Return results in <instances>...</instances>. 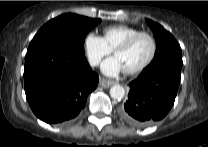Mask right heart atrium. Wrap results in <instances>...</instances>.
<instances>
[{"instance_id": "right-heart-atrium-1", "label": "right heart atrium", "mask_w": 208, "mask_h": 147, "mask_svg": "<svg viewBox=\"0 0 208 147\" xmlns=\"http://www.w3.org/2000/svg\"><path fill=\"white\" fill-rule=\"evenodd\" d=\"M84 48L88 61L92 66H97L100 61L112 51L104 38L94 33H88L86 35Z\"/></svg>"}]
</instances>
